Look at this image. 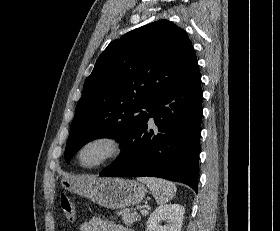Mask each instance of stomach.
<instances>
[{
	"mask_svg": "<svg viewBox=\"0 0 280 231\" xmlns=\"http://www.w3.org/2000/svg\"><path fill=\"white\" fill-rule=\"evenodd\" d=\"M61 185L64 189L89 197L98 205L108 207V209H121L128 205H136L144 199L146 187L139 181L133 179H120V177H83V175H73V177H62Z\"/></svg>",
	"mask_w": 280,
	"mask_h": 231,
	"instance_id": "1",
	"label": "stomach"
}]
</instances>
